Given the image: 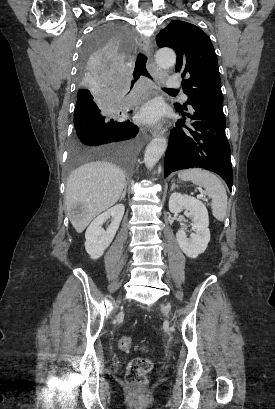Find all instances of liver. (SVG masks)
Here are the masks:
<instances>
[{
  "label": "liver",
  "mask_w": 275,
  "mask_h": 409,
  "mask_svg": "<svg viewBox=\"0 0 275 409\" xmlns=\"http://www.w3.org/2000/svg\"><path fill=\"white\" fill-rule=\"evenodd\" d=\"M126 182L125 172L113 162H86L72 170L66 186V205L70 209L74 202H82L85 215L81 221H72L75 231L83 233L89 223L117 202Z\"/></svg>",
  "instance_id": "liver-1"
}]
</instances>
